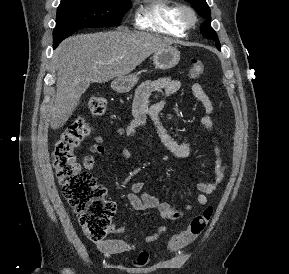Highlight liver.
Returning <instances> with one entry per match:
<instances>
[{"label":"liver","instance_id":"1","mask_svg":"<svg viewBox=\"0 0 289 274\" xmlns=\"http://www.w3.org/2000/svg\"><path fill=\"white\" fill-rule=\"evenodd\" d=\"M168 41L148 33L117 30L80 34L65 39L56 49V97L50 127L64 126L79 104L80 83H104L133 71L151 54L168 47Z\"/></svg>","mask_w":289,"mask_h":274}]
</instances>
